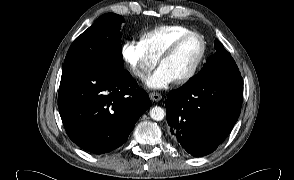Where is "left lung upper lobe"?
Here are the masks:
<instances>
[{
  "label": "left lung upper lobe",
  "instance_id": "5c2ea615",
  "mask_svg": "<svg viewBox=\"0 0 294 180\" xmlns=\"http://www.w3.org/2000/svg\"><path fill=\"white\" fill-rule=\"evenodd\" d=\"M214 48L216 52L207 59L201 71L189 80L187 84H203L222 76H241L231 54L224 49L219 40H215Z\"/></svg>",
  "mask_w": 294,
  "mask_h": 180
}]
</instances>
